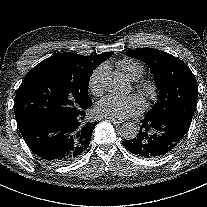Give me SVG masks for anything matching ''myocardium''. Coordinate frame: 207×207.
Wrapping results in <instances>:
<instances>
[{"mask_svg": "<svg viewBox=\"0 0 207 207\" xmlns=\"http://www.w3.org/2000/svg\"><path fill=\"white\" fill-rule=\"evenodd\" d=\"M137 91L146 100H155L159 94V85L154 80H146V81L141 82L137 86Z\"/></svg>", "mask_w": 207, "mask_h": 207, "instance_id": "f54148a6", "label": "myocardium"}]
</instances>
